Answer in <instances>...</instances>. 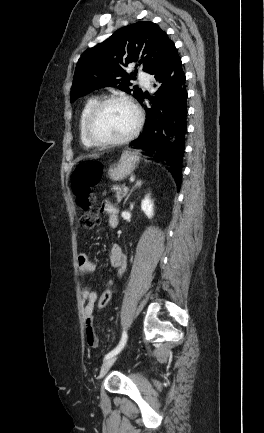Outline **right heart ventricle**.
Here are the masks:
<instances>
[{
    "label": "right heart ventricle",
    "mask_w": 264,
    "mask_h": 433,
    "mask_svg": "<svg viewBox=\"0 0 264 433\" xmlns=\"http://www.w3.org/2000/svg\"><path fill=\"white\" fill-rule=\"evenodd\" d=\"M98 101V98L96 96H92L89 97L80 112L79 115V121H78V129H79V135H80V140L82 142L83 145L85 146H91V144L89 143V141L87 140L85 134H84V121L85 118L89 112V110L92 108V106Z\"/></svg>",
    "instance_id": "1"
}]
</instances>
